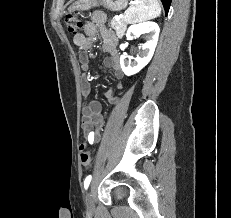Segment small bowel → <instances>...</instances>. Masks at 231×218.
Masks as SVG:
<instances>
[{
    "label": "small bowel",
    "instance_id": "obj_1",
    "mask_svg": "<svg viewBox=\"0 0 231 218\" xmlns=\"http://www.w3.org/2000/svg\"><path fill=\"white\" fill-rule=\"evenodd\" d=\"M105 20L106 16L102 11L91 13L89 20L84 25L83 33L75 35L73 43L83 50H89L94 44L95 37L99 35L102 41V48L108 54L102 62V69H112L114 76L117 79H121L123 72L117 52V38L112 31L105 28ZM80 67L84 72L89 68V57L86 53L80 55ZM115 87L122 89L123 85L117 83ZM81 94L86 100V104L82 108V129L84 133L87 134V132L93 131L95 128L102 129L104 118L101 112V104L91 98V86L84 76L81 78ZM103 95L113 105L119 100L114 94V87L109 88ZM93 132L95 133L94 143H96L100 139V132H95V130Z\"/></svg>",
    "mask_w": 231,
    "mask_h": 218
}]
</instances>
